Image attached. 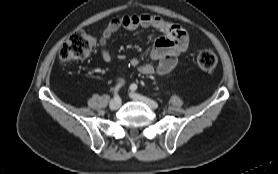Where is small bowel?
<instances>
[{
    "label": "small bowel",
    "instance_id": "c3829d8e",
    "mask_svg": "<svg viewBox=\"0 0 278 174\" xmlns=\"http://www.w3.org/2000/svg\"><path fill=\"white\" fill-rule=\"evenodd\" d=\"M138 27H151L160 33V36L155 40L151 50V58L157 62V66L142 64L138 57H132L130 59V64L137 67V69L145 75H152L154 73L166 75L172 72L179 58L188 48V34L181 26L156 15H125L110 21L103 29L99 39L102 59L105 62H110L112 59L107 49V42L112 35L122 29L133 30ZM116 84L120 87V85L124 84V79L118 78Z\"/></svg>",
    "mask_w": 278,
    "mask_h": 174
}]
</instances>
